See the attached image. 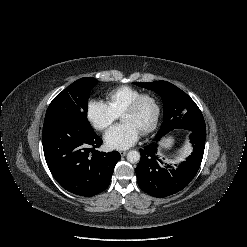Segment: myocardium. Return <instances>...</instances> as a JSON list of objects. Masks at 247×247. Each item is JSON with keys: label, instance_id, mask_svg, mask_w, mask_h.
Masks as SVG:
<instances>
[{"label": "myocardium", "instance_id": "myocardium-1", "mask_svg": "<svg viewBox=\"0 0 247 247\" xmlns=\"http://www.w3.org/2000/svg\"><path fill=\"white\" fill-rule=\"evenodd\" d=\"M146 99H151L153 101L155 106V115L151 124L141 131L143 135L152 133L159 125L162 115V106L159 98L153 93H142L138 97H136L132 102H130L121 113L122 115L125 112L136 111L140 107L142 102Z\"/></svg>", "mask_w": 247, "mask_h": 247}]
</instances>
